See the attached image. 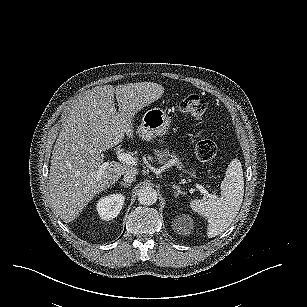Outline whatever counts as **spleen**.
I'll return each mask as SVG.
<instances>
[{
  "instance_id": "spleen-1",
  "label": "spleen",
  "mask_w": 307,
  "mask_h": 307,
  "mask_svg": "<svg viewBox=\"0 0 307 307\" xmlns=\"http://www.w3.org/2000/svg\"><path fill=\"white\" fill-rule=\"evenodd\" d=\"M220 188V197L209 200L194 199L190 202L193 212L208 219V238L224 232L240 210L244 195V177L239 159L235 158L229 163Z\"/></svg>"
}]
</instances>
